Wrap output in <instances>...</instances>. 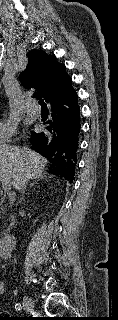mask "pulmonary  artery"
Returning a JSON list of instances; mask_svg holds the SVG:
<instances>
[{
  "instance_id": "obj_1",
  "label": "pulmonary artery",
  "mask_w": 118,
  "mask_h": 320,
  "mask_svg": "<svg viewBox=\"0 0 118 320\" xmlns=\"http://www.w3.org/2000/svg\"><path fill=\"white\" fill-rule=\"evenodd\" d=\"M24 107L26 112L30 114H38L40 112L39 105L33 101H27Z\"/></svg>"
}]
</instances>
